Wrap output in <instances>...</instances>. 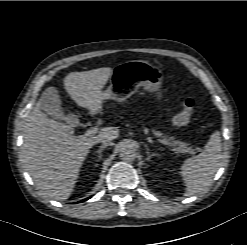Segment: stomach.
Listing matches in <instances>:
<instances>
[{"instance_id": "0dacf381", "label": "stomach", "mask_w": 247, "mask_h": 245, "mask_svg": "<svg viewBox=\"0 0 247 245\" xmlns=\"http://www.w3.org/2000/svg\"><path fill=\"white\" fill-rule=\"evenodd\" d=\"M162 71L144 60H131L115 66L110 76V86L105 90V99L125 101L140 87L161 98Z\"/></svg>"}]
</instances>
